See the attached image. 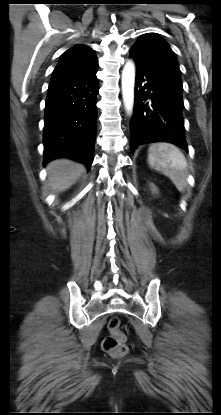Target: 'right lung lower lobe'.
<instances>
[{
	"label": "right lung lower lobe",
	"mask_w": 221,
	"mask_h": 415,
	"mask_svg": "<svg viewBox=\"0 0 221 415\" xmlns=\"http://www.w3.org/2000/svg\"><path fill=\"white\" fill-rule=\"evenodd\" d=\"M97 67L52 75L45 105L44 163L65 157L90 169L97 123Z\"/></svg>",
	"instance_id": "right-lung-lower-lobe-1"
}]
</instances>
